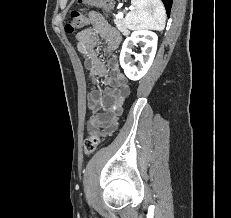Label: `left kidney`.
Instances as JSON below:
<instances>
[{
	"label": "left kidney",
	"instance_id": "5707ae66",
	"mask_svg": "<svg viewBox=\"0 0 231 218\" xmlns=\"http://www.w3.org/2000/svg\"><path fill=\"white\" fill-rule=\"evenodd\" d=\"M157 41L156 33L149 30H136L126 38L120 53V65L129 79L138 80L147 73L156 54ZM139 42H142L144 47L142 55L136 57V60L140 62V66L136 67L131 55L134 54L132 48Z\"/></svg>",
	"mask_w": 231,
	"mask_h": 218
}]
</instances>
